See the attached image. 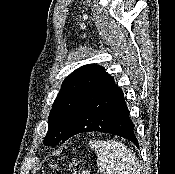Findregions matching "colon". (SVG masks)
Here are the masks:
<instances>
[{
    "label": "colon",
    "instance_id": "5ec220e1",
    "mask_svg": "<svg viewBox=\"0 0 175 174\" xmlns=\"http://www.w3.org/2000/svg\"><path fill=\"white\" fill-rule=\"evenodd\" d=\"M52 168H55V165H53ZM70 169L74 174H90L87 170L82 169L77 163H72Z\"/></svg>",
    "mask_w": 175,
    "mask_h": 174
}]
</instances>
